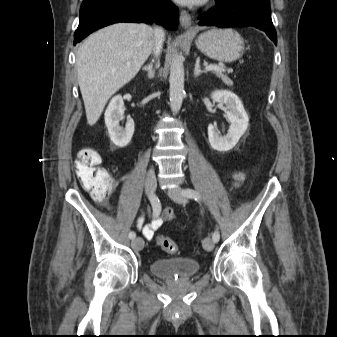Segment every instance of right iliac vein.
<instances>
[{
    "mask_svg": "<svg viewBox=\"0 0 337 337\" xmlns=\"http://www.w3.org/2000/svg\"><path fill=\"white\" fill-rule=\"evenodd\" d=\"M156 185H157V182H156L155 172L154 170H149L145 178V189L149 197L154 195V192L156 190ZM131 246L135 251H139L143 248L144 241L142 238L137 237L132 240Z\"/></svg>",
    "mask_w": 337,
    "mask_h": 337,
    "instance_id": "63e3f726",
    "label": "right iliac vein"
}]
</instances>
